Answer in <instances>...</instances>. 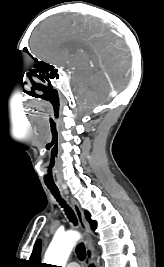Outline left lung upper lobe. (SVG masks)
<instances>
[{
    "mask_svg": "<svg viewBox=\"0 0 164 267\" xmlns=\"http://www.w3.org/2000/svg\"><path fill=\"white\" fill-rule=\"evenodd\" d=\"M85 215H86V218H87V220L89 221V223H90V225H91V228L93 229V230H95V228H96V226H97V223L95 222V221H93V220H91L90 219V214H89V212H85Z\"/></svg>",
    "mask_w": 164,
    "mask_h": 267,
    "instance_id": "1",
    "label": "left lung upper lobe"
}]
</instances>
